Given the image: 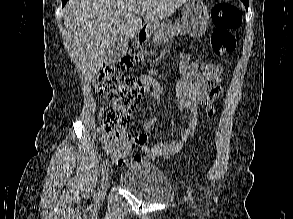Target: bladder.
<instances>
[{"label": "bladder", "mask_w": 293, "mask_h": 219, "mask_svg": "<svg viewBox=\"0 0 293 219\" xmlns=\"http://www.w3.org/2000/svg\"><path fill=\"white\" fill-rule=\"evenodd\" d=\"M124 189L146 204H165L174 198L166 176L155 166L131 167L120 175Z\"/></svg>", "instance_id": "31cf9c89"}]
</instances>
